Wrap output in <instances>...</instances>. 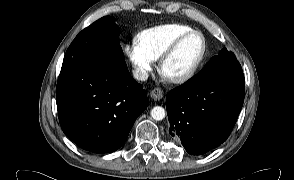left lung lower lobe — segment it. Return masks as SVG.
I'll return each instance as SVG.
<instances>
[{
    "label": "left lung lower lobe",
    "mask_w": 294,
    "mask_h": 180,
    "mask_svg": "<svg viewBox=\"0 0 294 180\" xmlns=\"http://www.w3.org/2000/svg\"><path fill=\"white\" fill-rule=\"evenodd\" d=\"M242 71H224L205 80L190 79L166 98L171 137L189 154L201 155L230 135L244 102Z\"/></svg>",
    "instance_id": "obj_1"
}]
</instances>
